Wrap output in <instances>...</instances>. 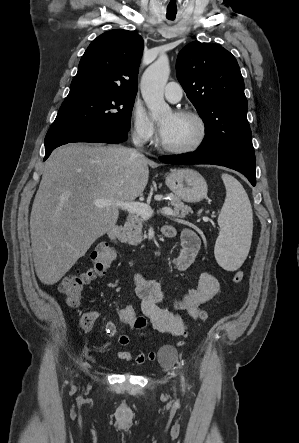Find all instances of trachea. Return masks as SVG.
<instances>
[{
  "label": "trachea",
  "mask_w": 299,
  "mask_h": 443,
  "mask_svg": "<svg viewBox=\"0 0 299 443\" xmlns=\"http://www.w3.org/2000/svg\"><path fill=\"white\" fill-rule=\"evenodd\" d=\"M167 15H168V17H167L168 19L173 20L175 18L176 14L168 12Z\"/></svg>",
  "instance_id": "3493384b"
}]
</instances>
